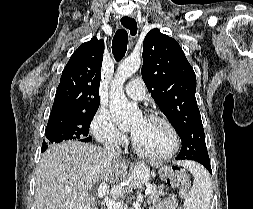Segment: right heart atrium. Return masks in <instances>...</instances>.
<instances>
[{
	"label": "right heart atrium",
	"instance_id": "obj_1",
	"mask_svg": "<svg viewBox=\"0 0 253 209\" xmlns=\"http://www.w3.org/2000/svg\"><path fill=\"white\" fill-rule=\"evenodd\" d=\"M93 137L102 144H123L126 137L117 128L111 115L105 109H99L91 122Z\"/></svg>",
	"mask_w": 253,
	"mask_h": 209
}]
</instances>
